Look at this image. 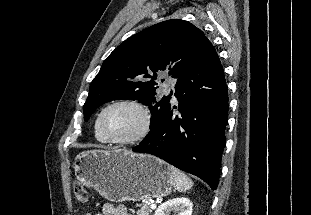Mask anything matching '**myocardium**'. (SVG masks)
Returning <instances> with one entry per match:
<instances>
[{
	"instance_id": "1",
	"label": "myocardium",
	"mask_w": 311,
	"mask_h": 215,
	"mask_svg": "<svg viewBox=\"0 0 311 215\" xmlns=\"http://www.w3.org/2000/svg\"><path fill=\"white\" fill-rule=\"evenodd\" d=\"M118 105L132 106V107L136 108L142 115V118H143L142 126H141L140 130L135 135H133L131 137L113 138V137L108 136L104 132V129L102 126V120H103L104 114L110 108H112L114 106H118ZM96 124H97V129H98L100 135L102 136V138L106 142H109L112 144H118V145H132V144H136V143L144 140L147 137V135L149 134L150 129H151V114H150L149 109L146 107V105H144L142 102H140L138 100L119 99V100H115V101L109 103L100 111V113L97 117V120H96Z\"/></svg>"
}]
</instances>
